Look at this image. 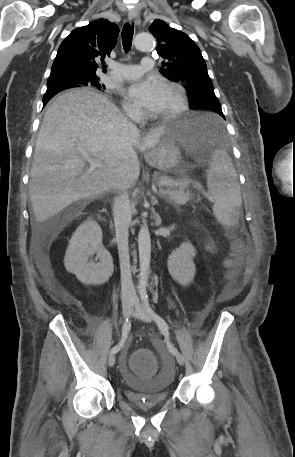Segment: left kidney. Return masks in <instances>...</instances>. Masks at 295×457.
<instances>
[{
    "label": "left kidney",
    "mask_w": 295,
    "mask_h": 457,
    "mask_svg": "<svg viewBox=\"0 0 295 457\" xmlns=\"http://www.w3.org/2000/svg\"><path fill=\"white\" fill-rule=\"evenodd\" d=\"M195 255V248L189 242L182 243L169 255L168 271L172 278L182 286L189 285L194 279L196 268L193 258Z\"/></svg>",
    "instance_id": "left-kidney-1"
}]
</instances>
